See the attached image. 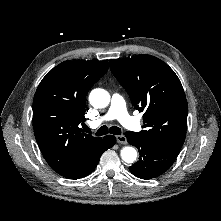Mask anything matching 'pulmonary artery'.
Returning <instances> with one entry per match:
<instances>
[{
    "instance_id": "1",
    "label": "pulmonary artery",
    "mask_w": 221,
    "mask_h": 221,
    "mask_svg": "<svg viewBox=\"0 0 221 221\" xmlns=\"http://www.w3.org/2000/svg\"><path fill=\"white\" fill-rule=\"evenodd\" d=\"M114 119H117L122 125L130 130H141L140 123L128 114L125 101L119 94H113L108 112L104 116L92 121L90 125L92 127H97L105 121Z\"/></svg>"
}]
</instances>
